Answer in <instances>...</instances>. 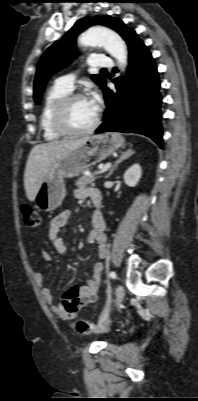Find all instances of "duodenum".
I'll return each instance as SVG.
<instances>
[{
  "instance_id": "410a0bca",
  "label": "duodenum",
  "mask_w": 198,
  "mask_h": 401,
  "mask_svg": "<svg viewBox=\"0 0 198 401\" xmlns=\"http://www.w3.org/2000/svg\"><path fill=\"white\" fill-rule=\"evenodd\" d=\"M90 198L92 199L96 209H98L100 207V201H101L100 194L94 191L91 193Z\"/></svg>"
}]
</instances>
